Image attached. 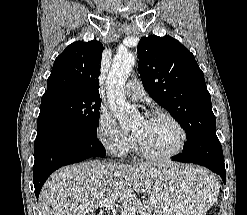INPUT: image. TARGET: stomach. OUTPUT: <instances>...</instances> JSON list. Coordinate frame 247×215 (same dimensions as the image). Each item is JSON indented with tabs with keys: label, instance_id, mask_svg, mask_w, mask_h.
<instances>
[{
	"label": "stomach",
	"instance_id": "stomach-1",
	"mask_svg": "<svg viewBox=\"0 0 247 215\" xmlns=\"http://www.w3.org/2000/svg\"><path fill=\"white\" fill-rule=\"evenodd\" d=\"M217 187L210 172L178 165L153 183L149 202L157 215H204L217 198Z\"/></svg>",
	"mask_w": 247,
	"mask_h": 215
}]
</instances>
